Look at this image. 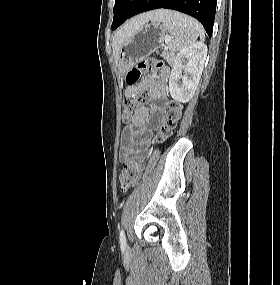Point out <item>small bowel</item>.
<instances>
[{
  "label": "small bowel",
  "instance_id": "obj_1",
  "mask_svg": "<svg viewBox=\"0 0 280 285\" xmlns=\"http://www.w3.org/2000/svg\"><path fill=\"white\" fill-rule=\"evenodd\" d=\"M139 89L150 91L151 99L155 102L153 108L157 114L165 111L168 103L165 77L156 79L150 76L136 86H129L125 92L126 97H130ZM149 115L150 112L147 107L140 108L131 120V127L123 132L119 150V159L121 162H128L137 150L144 147L149 141L148 135L151 133V128L148 126Z\"/></svg>",
  "mask_w": 280,
  "mask_h": 285
}]
</instances>
